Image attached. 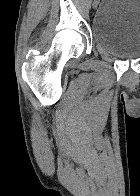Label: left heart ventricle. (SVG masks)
<instances>
[{"label":"left heart ventricle","mask_w":140,"mask_h":196,"mask_svg":"<svg viewBox=\"0 0 140 196\" xmlns=\"http://www.w3.org/2000/svg\"><path fill=\"white\" fill-rule=\"evenodd\" d=\"M104 192H121V191H104Z\"/></svg>","instance_id":"obj_1"}]
</instances>
